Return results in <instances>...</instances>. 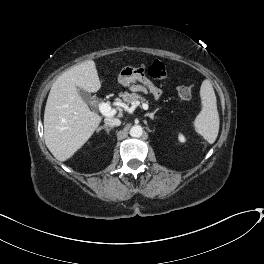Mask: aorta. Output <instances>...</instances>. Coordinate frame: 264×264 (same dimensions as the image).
Listing matches in <instances>:
<instances>
[{
    "label": "aorta",
    "mask_w": 264,
    "mask_h": 264,
    "mask_svg": "<svg viewBox=\"0 0 264 264\" xmlns=\"http://www.w3.org/2000/svg\"><path fill=\"white\" fill-rule=\"evenodd\" d=\"M143 134V128L140 125H134L130 129V135L132 137H140Z\"/></svg>",
    "instance_id": "aorta-1"
}]
</instances>
